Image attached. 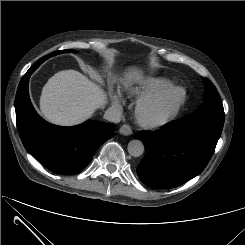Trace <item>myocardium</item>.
Returning <instances> with one entry per match:
<instances>
[{"label": "myocardium", "mask_w": 245, "mask_h": 245, "mask_svg": "<svg viewBox=\"0 0 245 245\" xmlns=\"http://www.w3.org/2000/svg\"><path fill=\"white\" fill-rule=\"evenodd\" d=\"M187 98L181 86H170L162 92L141 99L135 109L136 119L146 128H159L180 112Z\"/></svg>", "instance_id": "1"}]
</instances>
